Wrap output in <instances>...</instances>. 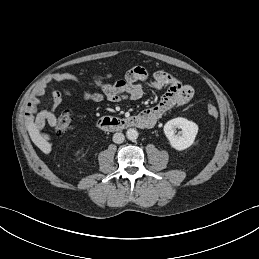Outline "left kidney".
Here are the masks:
<instances>
[{"mask_svg":"<svg viewBox=\"0 0 259 259\" xmlns=\"http://www.w3.org/2000/svg\"><path fill=\"white\" fill-rule=\"evenodd\" d=\"M176 128L181 129V135H176ZM164 133L170 142L171 147L178 151L189 148L198 133V125L193 121L178 117L168 121L164 125Z\"/></svg>","mask_w":259,"mask_h":259,"instance_id":"obj_1","label":"left kidney"}]
</instances>
